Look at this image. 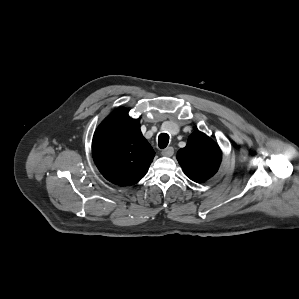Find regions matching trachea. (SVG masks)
Masks as SVG:
<instances>
[{"label": "trachea", "instance_id": "obj_1", "mask_svg": "<svg viewBox=\"0 0 299 299\" xmlns=\"http://www.w3.org/2000/svg\"><path fill=\"white\" fill-rule=\"evenodd\" d=\"M168 143H169V135L166 134V133L160 134L159 137H158V146H159V148H161V149L166 148Z\"/></svg>", "mask_w": 299, "mask_h": 299}]
</instances>
